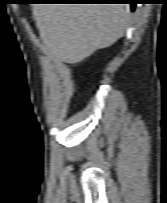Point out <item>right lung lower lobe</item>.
Listing matches in <instances>:
<instances>
[{"instance_id":"right-lung-lower-lobe-1","label":"right lung lower lobe","mask_w":167,"mask_h":203,"mask_svg":"<svg viewBox=\"0 0 167 203\" xmlns=\"http://www.w3.org/2000/svg\"><path fill=\"white\" fill-rule=\"evenodd\" d=\"M87 1H101V2H88V3H130L131 11L135 9V2L133 0H87Z\"/></svg>"}]
</instances>
